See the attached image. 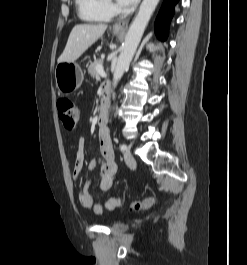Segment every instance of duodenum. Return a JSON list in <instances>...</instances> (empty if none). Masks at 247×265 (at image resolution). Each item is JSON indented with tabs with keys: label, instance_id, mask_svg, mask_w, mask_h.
Instances as JSON below:
<instances>
[{
	"label": "duodenum",
	"instance_id": "1",
	"mask_svg": "<svg viewBox=\"0 0 247 265\" xmlns=\"http://www.w3.org/2000/svg\"><path fill=\"white\" fill-rule=\"evenodd\" d=\"M108 99H109V90L105 89L103 93V98H102L101 110L98 114V122L100 126H104L109 117Z\"/></svg>",
	"mask_w": 247,
	"mask_h": 265
}]
</instances>
